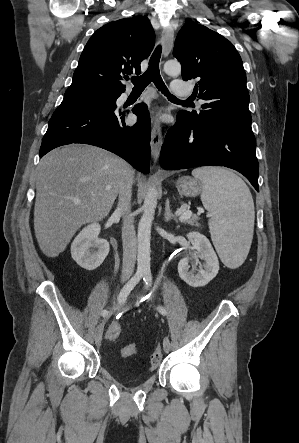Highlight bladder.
<instances>
[{"mask_svg": "<svg viewBox=\"0 0 299 443\" xmlns=\"http://www.w3.org/2000/svg\"><path fill=\"white\" fill-rule=\"evenodd\" d=\"M117 377L126 385H138L143 383L149 378V373L137 371V370H127L119 372L116 374Z\"/></svg>", "mask_w": 299, "mask_h": 443, "instance_id": "bladder-1", "label": "bladder"}]
</instances>
